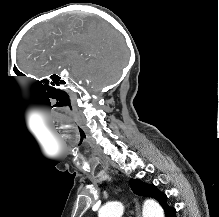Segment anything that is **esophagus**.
Instances as JSON below:
<instances>
[{"label":"esophagus","mask_w":219,"mask_h":217,"mask_svg":"<svg viewBox=\"0 0 219 217\" xmlns=\"http://www.w3.org/2000/svg\"><path fill=\"white\" fill-rule=\"evenodd\" d=\"M134 202H135L136 217H141L140 204L136 198H134Z\"/></svg>","instance_id":"obj_1"}]
</instances>
